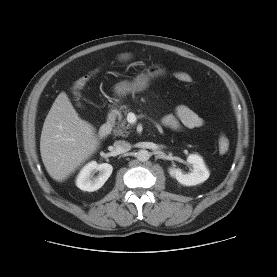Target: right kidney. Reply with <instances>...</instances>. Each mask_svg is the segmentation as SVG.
Segmentation results:
<instances>
[{"instance_id": "1", "label": "right kidney", "mask_w": 277, "mask_h": 277, "mask_svg": "<svg viewBox=\"0 0 277 277\" xmlns=\"http://www.w3.org/2000/svg\"><path fill=\"white\" fill-rule=\"evenodd\" d=\"M113 167L108 163L88 162L76 177V186L88 192L100 189L112 174ZM98 172L97 176H94Z\"/></svg>"}]
</instances>
